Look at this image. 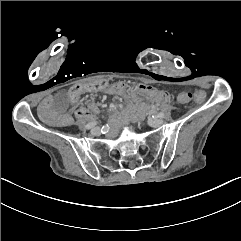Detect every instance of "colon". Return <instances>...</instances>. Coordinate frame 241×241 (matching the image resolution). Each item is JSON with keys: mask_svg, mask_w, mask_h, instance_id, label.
Segmentation results:
<instances>
[{"mask_svg": "<svg viewBox=\"0 0 241 241\" xmlns=\"http://www.w3.org/2000/svg\"><path fill=\"white\" fill-rule=\"evenodd\" d=\"M70 97L73 99H79L82 93H105L107 86L103 84L101 79H82L80 84H70ZM193 97L200 101L205 97L203 90H197ZM180 101L182 103H190L192 101V94L190 92H182L180 94Z\"/></svg>", "mask_w": 241, "mask_h": 241, "instance_id": "5ec220e1", "label": "colon"}]
</instances>
